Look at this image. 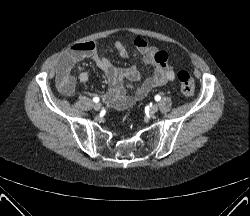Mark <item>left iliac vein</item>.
Returning a JSON list of instances; mask_svg holds the SVG:
<instances>
[{
    "label": "left iliac vein",
    "instance_id": "4c4485c4",
    "mask_svg": "<svg viewBox=\"0 0 250 216\" xmlns=\"http://www.w3.org/2000/svg\"><path fill=\"white\" fill-rule=\"evenodd\" d=\"M158 111V105L154 104L150 107V113L154 114Z\"/></svg>",
    "mask_w": 250,
    "mask_h": 216
}]
</instances>
